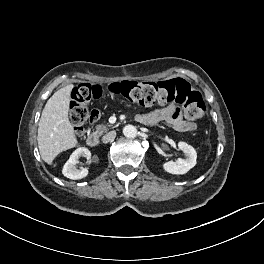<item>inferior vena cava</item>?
<instances>
[{"label": "inferior vena cava", "instance_id": "obj_1", "mask_svg": "<svg viewBox=\"0 0 264 264\" xmlns=\"http://www.w3.org/2000/svg\"><path fill=\"white\" fill-rule=\"evenodd\" d=\"M116 137V131H110L102 138L103 143L112 142Z\"/></svg>", "mask_w": 264, "mask_h": 264}]
</instances>
